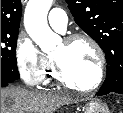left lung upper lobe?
<instances>
[{"label": "left lung upper lobe", "mask_w": 123, "mask_h": 113, "mask_svg": "<svg viewBox=\"0 0 123 113\" xmlns=\"http://www.w3.org/2000/svg\"><path fill=\"white\" fill-rule=\"evenodd\" d=\"M75 22L105 53L107 76L101 88L123 89V0H66Z\"/></svg>", "instance_id": "obj_1"}]
</instances>
